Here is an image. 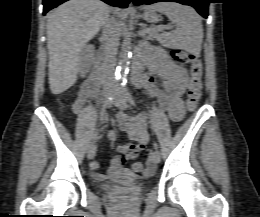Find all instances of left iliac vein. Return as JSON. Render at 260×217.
<instances>
[{
    "instance_id": "4c4485c4",
    "label": "left iliac vein",
    "mask_w": 260,
    "mask_h": 217,
    "mask_svg": "<svg viewBox=\"0 0 260 217\" xmlns=\"http://www.w3.org/2000/svg\"><path fill=\"white\" fill-rule=\"evenodd\" d=\"M113 103L115 106H117L120 109L127 108V98L120 88L115 90ZM160 158H161L160 152L158 150H154L150 155V162L152 164H157L160 162Z\"/></svg>"
}]
</instances>
